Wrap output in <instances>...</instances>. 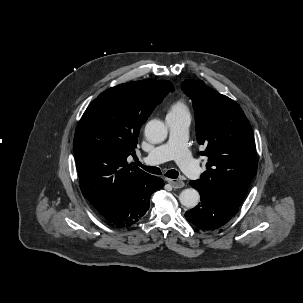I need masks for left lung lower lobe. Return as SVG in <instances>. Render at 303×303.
Masks as SVG:
<instances>
[{
	"mask_svg": "<svg viewBox=\"0 0 303 303\" xmlns=\"http://www.w3.org/2000/svg\"><path fill=\"white\" fill-rule=\"evenodd\" d=\"M190 185L199 191L201 203L187 211L185 217L198 228L216 229L227 223L238 212L240 205L224 194L206 189L196 181H191Z\"/></svg>",
	"mask_w": 303,
	"mask_h": 303,
	"instance_id": "obj_1",
	"label": "left lung lower lobe"
}]
</instances>
